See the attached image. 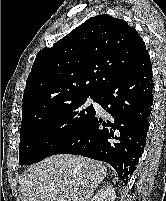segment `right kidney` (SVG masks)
Returning a JSON list of instances; mask_svg holds the SVG:
<instances>
[{
  "mask_svg": "<svg viewBox=\"0 0 166 201\" xmlns=\"http://www.w3.org/2000/svg\"><path fill=\"white\" fill-rule=\"evenodd\" d=\"M116 198L115 190L112 186L102 188L92 198L91 201H114Z\"/></svg>",
  "mask_w": 166,
  "mask_h": 201,
  "instance_id": "1",
  "label": "right kidney"
}]
</instances>
